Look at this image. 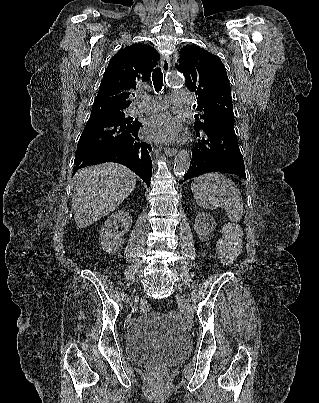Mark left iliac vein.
Here are the masks:
<instances>
[{
  "mask_svg": "<svg viewBox=\"0 0 319 403\" xmlns=\"http://www.w3.org/2000/svg\"><path fill=\"white\" fill-rule=\"evenodd\" d=\"M176 299L179 305L182 307L184 314L191 319L193 316V310L190 303L181 294H176Z\"/></svg>",
  "mask_w": 319,
  "mask_h": 403,
  "instance_id": "obj_1",
  "label": "left iliac vein"
}]
</instances>
